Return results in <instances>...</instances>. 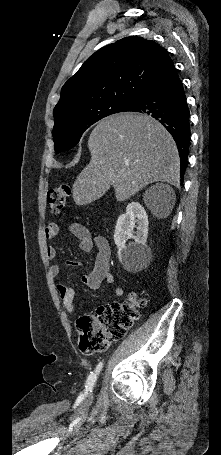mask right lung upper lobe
<instances>
[{
    "label": "right lung upper lobe",
    "mask_w": 221,
    "mask_h": 455,
    "mask_svg": "<svg viewBox=\"0 0 221 455\" xmlns=\"http://www.w3.org/2000/svg\"><path fill=\"white\" fill-rule=\"evenodd\" d=\"M168 58L164 48L141 37L101 48L62 87L55 120L103 101L133 102Z\"/></svg>",
    "instance_id": "right-lung-upper-lobe-1"
}]
</instances>
